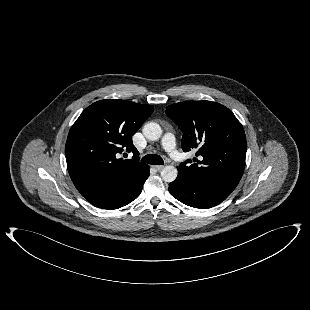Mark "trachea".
<instances>
[{
    "mask_svg": "<svg viewBox=\"0 0 310 310\" xmlns=\"http://www.w3.org/2000/svg\"><path fill=\"white\" fill-rule=\"evenodd\" d=\"M141 161L144 163L154 164V165H163L164 164L163 159L159 155H156V154L146 155L142 158Z\"/></svg>",
    "mask_w": 310,
    "mask_h": 310,
    "instance_id": "trachea-1",
    "label": "trachea"
}]
</instances>
